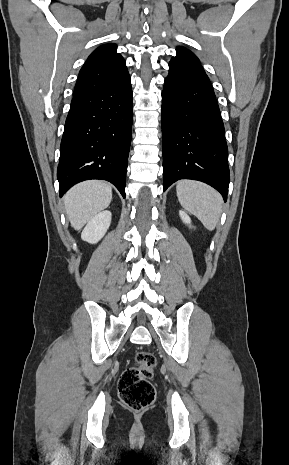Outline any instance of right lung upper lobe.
<instances>
[{
	"mask_svg": "<svg viewBox=\"0 0 289 465\" xmlns=\"http://www.w3.org/2000/svg\"><path fill=\"white\" fill-rule=\"evenodd\" d=\"M115 44L98 47L79 72L73 96L101 90L118 84L128 75L126 62Z\"/></svg>",
	"mask_w": 289,
	"mask_h": 465,
	"instance_id": "obj_1",
	"label": "right lung upper lobe"
}]
</instances>
